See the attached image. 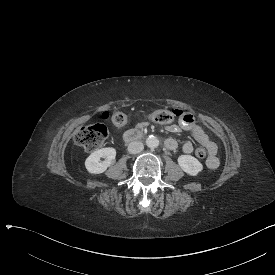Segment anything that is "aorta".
<instances>
[{
	"label": "aorta",
	"instance_id": "aorta-1",
	"mask_svg": "<svg viewBox=\"0 0 275 275\" xmlns=\"http://www.w3.org/2000/svg\"><path fill=\"white\" fill-rule=\"evenodd\" d=\"M145 143L149 148H155L158 146L159 141H158L157 137H155L154 135H149L146 138Z\"/></svg>",
	"mask_w": 275,
	"mask_h": 275
}]
</instances>
